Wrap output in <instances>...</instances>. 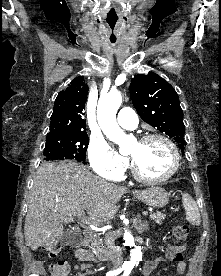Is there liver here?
Here are the masks:
<instances>
[{
    "mask_svg": "<svg viewBox=\"0 0 221 276\" xmlns=\"http://www.w3.org/2000/svg\"><path fill=\"white\" fill-rule=\"evenodd\" d=\"M127 188L110 184L72 161L42 164L34 177L25 218L26 245L52 249L64 234V224L86 211L94 223L108 222Z\"/></svg>",
    "mask_w": 221,
    "mask_h": 276,
    "instance_id": "liver-1",
    "label": "liver"
}]
</instances>
